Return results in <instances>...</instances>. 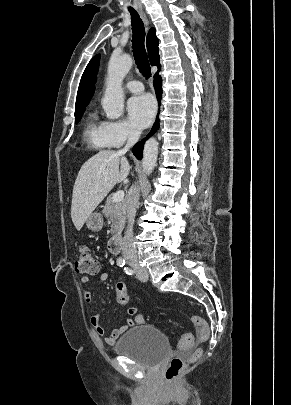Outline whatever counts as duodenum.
Instances as JSON below:
<instances>
[{
  "instance_id": "obj_1",
  "label": "duodenum",
  "mask_w": 291,
  "mask_h": 405,
  "mask_svg": "<svg viewBox=\"0 0 291 405\" xmlns=\"http://www.w3.org/2000/svg\"><path fill=\"white\" fill-rule=\"evenodd\" d=\"M108 250L112 253H118L122 247V236L120 234H115L108 241Z\"/></svg>"
}]
</instances>
